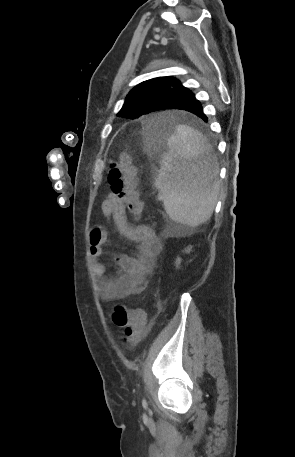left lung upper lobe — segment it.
Masks as SVG:
<instances>
[{
	"instance_id": "5c2ea615",
	"label": "left lung upper lobe",
	"mask_w": 295,
	"mask_h": 457,
	"mask_svg": "<svg viewBox=\"0 0 295 457\" xmlns=\"http://www.w3.org/2000/svg\"><path fill=\"white\" fill-rule=\"evenodd\" d=\"M187 88L179 80L172 77H157L135 86L127 95L120 117L138 118L151 113L155 105L165 98Z\"/></svg>"
}]
</instances>
